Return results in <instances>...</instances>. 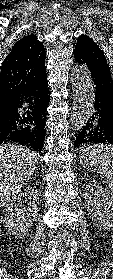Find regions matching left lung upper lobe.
I'll use <instances>...</instances> for the list:
<instances>
[{
    "instance_id": "left-lung-upper-lobe-1",
    "label": "left lung upper lobe",
    "mask_w": 113,
    "mask_h": 279,
    "mask_svg": "<svg viewBox=\"0 0 113 279\" xmlns=\"http://www.w3.org/2000/svg\"><path fill=\"white\" fill-rule=\"evenodd\" d=\"M73 53L75 58L80 59L83 63L94 66L101 72L111 76L110 68L103 51L88 36L81 35L78 37Z\"/></svg>"
}]
</instances>
